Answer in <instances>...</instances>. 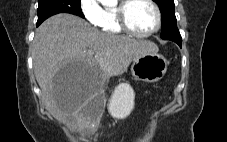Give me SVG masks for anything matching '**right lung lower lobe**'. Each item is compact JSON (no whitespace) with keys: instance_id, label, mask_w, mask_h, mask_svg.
Segmentation results:
<instances>
[{"instance_id":"98d812e1","label":"right lung lower lobe","mask_w":227,"mask_h":142,"mask_svg":"<svg viewBox=\"0 0 227 142\" xmlns=\"http://www.w3.org/2000/svg\"><path fill=\"white\" fill-rule=\"evenodd\" d=\"M40 24H41V23H38V22H37V25H36V26H39Z\"/></svg>"}]
</instances>
